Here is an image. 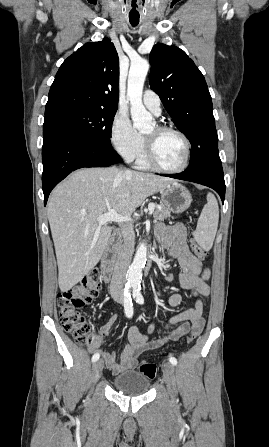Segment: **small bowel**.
Here are the masks:
<instances>
[{
    "mask_svg": "<svg viewBox=\"0 0 269 447\" xmlns=\"http://www.w3.org/2000/svg\"><path fill=\"white\" fill-rule=\"evenodd\" d=\"M156 236L159 246L169 251V256L178 260L181 272L178 275V284L185 289L193 291L194 306L186 309L179 314L171 316L165 322V328L168 329L172 325L179 324L167 336L150 340L147 336L142 335L136 326H131L128 331L127 344L124 347L119 358L115 354L103 353L107 365L114 373L123 372L135 365V359L144 351L158 348L168 342L177 341L186 332L190 325L200 330L204 326L203 318V299L210 294V269L204 267L199 259H197L190 251L187 245V230L182 224H175L167 227L158 225ZM183 297L179 293H173L168 298V304L171 307H178L182 304ZM117 321V315L112 314L108 321L103 324L99 330V336L96 344L92 347L95 351L96 347L104 343L111 335ZM156 323L152 322L148 330L154 332Z\"/></svg>",
    "mask_w": 269,
    "mask_h": 447,
    "instance_id": "small-bowel-1",
    "label": "small bowel"
}]
</instances>
